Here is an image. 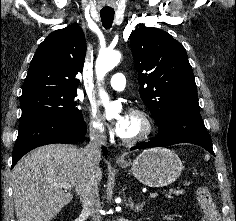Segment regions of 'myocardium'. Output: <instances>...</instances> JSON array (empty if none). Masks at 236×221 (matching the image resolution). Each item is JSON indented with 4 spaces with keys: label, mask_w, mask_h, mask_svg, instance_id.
<instances>
[{
    "label": "myocardium",
    "mask_w": 236,
    "mask_h": 221,
    "mask_svg": "<svg viewBox=\"0 0 236 221\" xmlns=\"http://www.w3.org/2000/svg\"><path fill=\"white\" fill-rule=\"evenodd\" d=\"M130 114L135 115L142 120L143 130L139 135L135 137H121V140L128 145H135L148 140L155 130V124L150 114L139 108L131 109Z\"/></svg>",
    "instance_id": "myocardium-1"
}]
</instances>
